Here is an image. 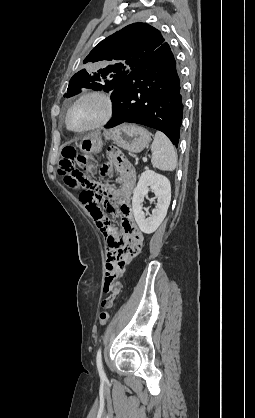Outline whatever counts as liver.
<instances>
[{
    "label": "liver",
    "mask_w": 255,
    "mask_h": 418,
    "mask_svg": "<svg viewBox=\"0 0 255 418\" xmlns=\"http://www.w3.org/2000/svg\"><path fill=\"white\" fill-rule=\"evenodd\" d=\"M96 134H92L91 136H95Z\"/></svg>",
    "instance_id": "1"
}]
</instances>
